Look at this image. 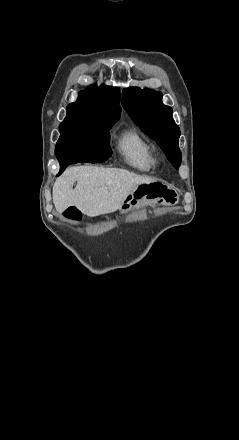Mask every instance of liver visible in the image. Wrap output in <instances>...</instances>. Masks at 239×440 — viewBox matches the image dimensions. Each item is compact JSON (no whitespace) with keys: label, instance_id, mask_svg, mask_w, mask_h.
<instances>
[{"label":"liver","instance_id":"1","mask_svg":"<svg viewBox=\"0 0 239 440\" xmlns=\"http://www.w3.org/2000/svg\"><path fill=\"white\" fill-rule=\"evenodd\" d=\"M74 182H77L75 190ZM151 182L158 180L120 168L73 166L57 178L53 186V204L59 214L69 206H76L82 214L93 218L116 212L133 190Z\"/></svg>","mask_w":239,"mask_h":440}]
</instances>
